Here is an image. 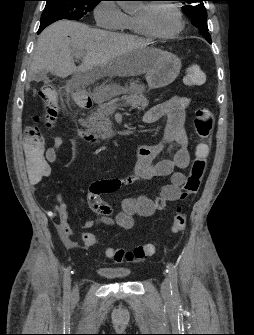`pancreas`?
<instances>
[{
	"mask_svg": "<svg viewBox=\"0 0 254 335\" xmlns=\"http://www.w3.org/2000/svg\"><path fill=\"white\" fill-rule=\"evenodd\" d=\"M121 93L123 94L121 100L125 104L131 105L132 107L138 108L139 110H144L149 104L147 98L143 94L141 86L131 85L129 89L124 92L106 88L99 93L102 102L100 103L97 110L88 118L87 128L90 132L100 134L102 132L108 131L111 128L112 123L110 121L109 115L111 111L116 109L118 106V99L116 97ZM104 101L108 102L104 103Z\"/></svg>",
	"mask_w": 254,
	"mask_h": 335,
	"instance_id": "cf45deb5",
	"label": "pancreas"
}]
</instances>
